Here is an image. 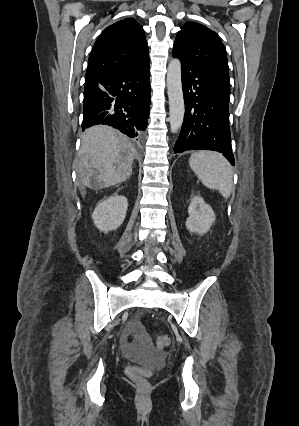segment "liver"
I'll use <instances>...</instances> for the list:
<instances>
[{"instance_id":"liver-1","label":"liver","mask_w":299,"mask_h":426,"mask_svg":"<svg viewBox=\"0 0 299 426\" xmlns=\"http://www.w3.org/2000/svg\"><path fill=\"white\" fill-rule=\"evenodd\" d=\"M136 151L119 131L104 125L87 129L81 137L77 174L85 188H106L127 180Z\"/></svg>"}]
</instances>
